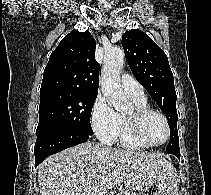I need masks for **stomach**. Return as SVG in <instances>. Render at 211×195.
<instances>
[{"label": "stomach", "mask_w": 211, "mask_h": 195, "mask_svg": "<svg viewBox=\"0 0 211 195\" xmlns=\"http://www.w3.org/2000/svg\"><path fill=\"white\" fill-rule=\"evenodd\" d=\"M138 181H140V179ZM177 182L178 176L173 166L169 163L162 165L161 172L156 176L155 179V183L159 187V193L156 195H175Z\"/></svg>", "instance_id": "1"}]
</instances>
